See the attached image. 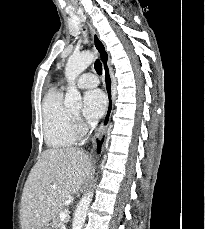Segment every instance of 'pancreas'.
<instances>
[{"label":"pancreas","mask_w":205,"mask_h":229,"mask_svg":"<svg viewBox=\"0 0 205 229\" xmlns=\"http://www.w3.org/2000/svg\"><path fill=\"white\" fill-rule=\"evenodd\" d=\"M66 208L64 206H60L57 211L53 215V229H60V226L62 225V221L59 218V215L61 212L65 211Z\"/></svg>","instance_id":"cf45deb5"}]
</instances>
